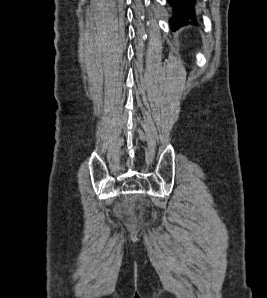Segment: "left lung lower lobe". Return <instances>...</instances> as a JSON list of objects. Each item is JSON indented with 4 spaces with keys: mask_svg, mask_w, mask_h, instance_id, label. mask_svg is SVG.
Returning a JSON list of instances; mask_svg holds the SVG:
<instances>
[{
    "mask_svg": "<svg viewBox=\"0 0 267 298\" xmlns=\"http://www.w3.org/2000/svg\"><path fill=\"white\" fill-rule=\"evenodd\" d=\"M175 11V16L170 20L172 30L175 31L180 26L196 22L194 13V0H168Z\"/></svg>",
    "mask_w": 267,
    "mask_h": 298,
    "instance_id": "1",
    "label": "left lung lower lobe"
}]
</instances>
